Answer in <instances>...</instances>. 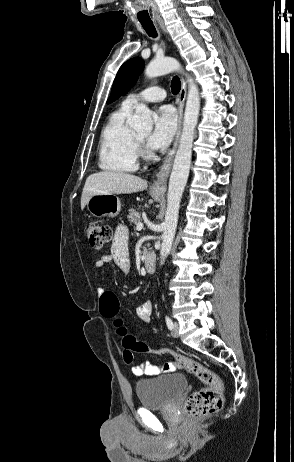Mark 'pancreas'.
I'll return each instance as SVG.
<instances>
[{
  "instance_id": "pancreas-1",
  "label": "pancreas",
  "mask_w": 294,
  "mask_h": 462,
  "mask_svg": "<svg viewBox=\"0 0 294 462\" xmlns=\"http://www.w3.org/2000/svg\"><path fill=\"white\" fill-rule=\"evenodd\" d=\"M128 219L132 224H138L141 221V213L134 209H130L128 211Z\"/></svg>"
}]
</instances>
